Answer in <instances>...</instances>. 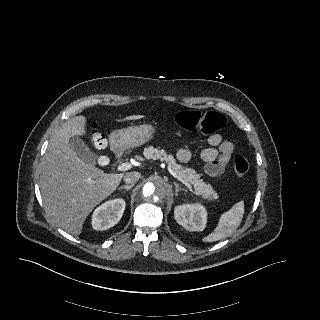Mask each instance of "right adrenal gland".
<instances>
[{
  "instance_id": "2a0ac1e0",
  "label": "right adrenal gland",
  "mask_w": 320,
  "mask_h": 320,
  "mask_svg": "<svg viewBox=\"0 0 320 320\" xmlns=\"http://www.w3.org/2000/svg\"><path fill=\"white\" fill-rule=\"evenodd\" d=\"M133 186H134V184H131V185H124V186L119 187V190H121V189L130 190Z\"/></svg>"
}]
</instances>
